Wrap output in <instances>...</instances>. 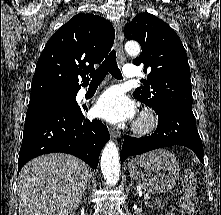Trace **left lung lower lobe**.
Instances as JSON below:
<instances>
[{
	"label": "left lung lower lobe",
	"instance_id": "0a47b994",
	"mask_svg": "<svg viewBox=\"0 0 221 215\" xmlns=\"http://www.w3.org/2000/svg\"><path fill=\"white\" fill-rule=\"evenodd\" d=\"M158 116V127L151 136L125 137L120 153L121 163L129 156L172 145L190 148L204 163L202 141L196 128L193 112L170 109L158 113Z\"/></svg>",
	"mask_w": 221,
	"mask_h": 215
}]
</instances>
